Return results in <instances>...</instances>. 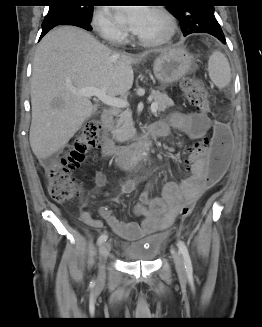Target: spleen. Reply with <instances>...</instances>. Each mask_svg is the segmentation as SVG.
Here are the masks:
<instances>
[{
	"instance_id": "1",
	"label": "spleen",
	"mask_w": 262,
	"mask_h": 327,
	"mask_svg": "<svg viewBox=\"0 0 262 327\" xmlns=\"http://www.w3.org/2000/svg\"><path fill=\"white\" fill-rule=\"evenodd\" d=\"M207 70L216 87L223 89L229 85L231 81L230 65L225 55L220 51H214L209 57Z\"/></svg>"
}]
</instances>
